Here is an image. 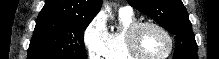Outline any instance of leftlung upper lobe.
<instances>
[{
    "instance_id": "1",
    "label": "left lung upper lobe",
    "mask_w": 219,
    "mask_h": 59,
    "mask_svg": "<svg viewBox=\"0 0 219 59\" xmlns=\"http://www.w3.org/2000/svg\"><path fill=\"white\" fill-rule=\"evenodd\" d=\"M153 18L176 38L173 59H198L197 44L188 13L181 0H127Z\"/></svg>"
}]
</instances>
